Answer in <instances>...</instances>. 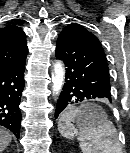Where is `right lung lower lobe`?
<instances>
[{
  "label": "right lung lower lobe",
  "instance_id": "obj_1",
  "mask_svg": "<svg viewBox=\"0 0 130 153\" xmlns=\"http://www.w3.org/2000/svg\"><path fill=\"white\" fill-rule=\"evenodd\" d=\"M25 60L0 67V126L11 130L17 138L21 126L19 104L24 88Z\"/></svg>",
  "mask_w": 130,
  "mask_h": 153
}]
</instances>
